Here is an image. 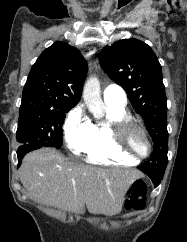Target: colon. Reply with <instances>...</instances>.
Wrapping results in <instances>:
<instances>
[{"mask_svg":"<svg viewBox=\"0 0 187 242\" xmlns=\"http://www.w3.org/2000/svg\"><path fill=\"white\" fill-rule=\"evenodd\" d=\"M147 202V185L143 180L135 181L129 191L125 203L127 210L140 211L145 208Z\"/></svg>","mask_w":187,"mask_h":242,"instance_id":"colon-1","label":"colon"}]
</instances>
